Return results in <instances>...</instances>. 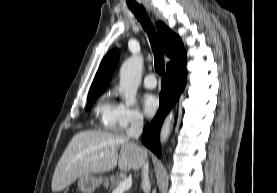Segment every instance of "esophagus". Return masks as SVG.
Here are the masks:
<instances>
[{
  "label": "esophagus",
  "instance_id": "34e87169",
  "mask_svg": "<svg viewBox=\"0 0 277 193\" xmlns=\"http://www.w3.org/2000/svg\"><path fill=\"white\" fill-rule=\"evenodd\" d=\"M144 5L150 11V5L148 3H145Z\"/></svg>",
  "mask_w": 277,
  "mask_h": 193
}]
</instances>
